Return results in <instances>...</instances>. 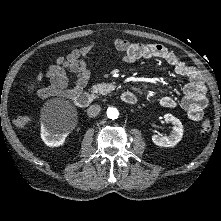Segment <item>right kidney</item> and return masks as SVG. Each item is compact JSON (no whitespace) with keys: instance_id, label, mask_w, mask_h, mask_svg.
I'll list each match as a JSON object with an SVG mask.
<instances>
[{"instance_id":"1","label":"right kidney","mask_w":221,"mask_h":221,"mask_svg":"<svg viewBox=\"0 0 221 221\" xmlns=\"http://www.w3.org/2000/svg\"><path fill=\"white\" fill-rule=\"evenodd\" d=\"M67 135V131L55 134L53 128L49 124H44L41 127V138L49 147H58L63 145Z\"/></svg>"}]
</instances>
